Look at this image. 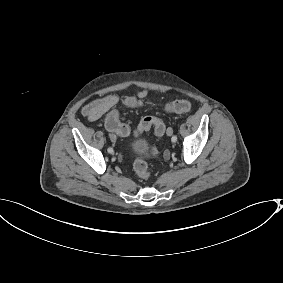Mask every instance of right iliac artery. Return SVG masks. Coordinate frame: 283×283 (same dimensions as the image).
<instances>
[{"label":"right iliac artery","instance_id":"right-iliac-artery-1","mask_svg":"<svg viewBox=\"0 0 283 283\" xmlns=\"http://www.w3.org/2000/svg\"><path fill=\"white\" fill-rule=\"evenodd\" d=\"M107 151H108V153H113V148L109 147V148L107 149Z\"/></svg>","mask_w":283,"mask_h":283}]
</instances>
